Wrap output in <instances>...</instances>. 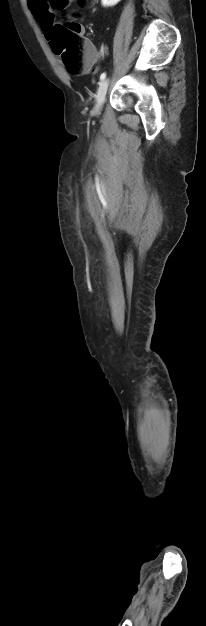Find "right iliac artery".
I'll return each mask as SVG.
<instances>
[{"mask_svg": "<svg viewBox=\"0 0 206 626\" xmlns=\"http://www.w3.org/2000/svg\"><path fill=\"white\" fill-rule=\"evenodd\" d=\"M105 77H106V73L104 72L100 75V81H103Z\"/></svg>", "mask_w": 206, "mask_h": 626, "instance_id": "right-iliac-artery-1", "label": "right iliac artery"}]
</instances>
